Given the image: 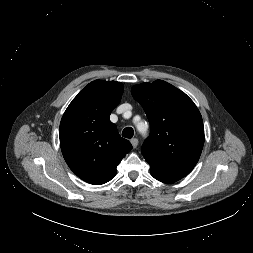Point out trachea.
Instances as JSON below:
<instances>
[{
    "label": "trachea",
    "instance_id": "trachea-1",
    "mask_svg": "<svg viewBox=\"0 0 253 253\" xmlns=\"http://www.w3.org/2000/svg\"><path fill=\"white\" fill-rule=\"evenodd\" d=\"M134 135V130L131 127H126L123 131H122V136L125 138H132Z\"/></svg>",
    "mask_w": 253,
    "mask_h": 253
}]
</instances>
